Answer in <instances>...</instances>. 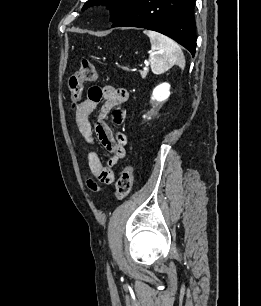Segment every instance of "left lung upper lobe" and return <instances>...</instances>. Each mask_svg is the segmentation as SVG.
<instances>
[{
    "label": "left lung upper lobe",
    "mask_w": 261,
    "mask_h": 306,
    "mask_svg": "<svg viewBox=\"0 0 261 306\" xmlns=\"http://www.w3.org/2000/svg\"><path fill=\"white\" fill-rule=\"evenodd\" d=\"M134 0H88L83 9L90 6L105 4L111 9V21L115 23L129 10Z\"/></svg>",
    "instance_id": "5c2ea615"
}]
</instances>
